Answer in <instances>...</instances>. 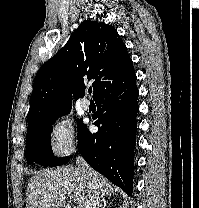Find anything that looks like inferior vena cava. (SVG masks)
I'll use <instances>...</instances> for the list:
<instances>
[{
  "label": "inferior vena cava",
  "mask_w": 199,
  "mask_h": 208,
  "mask_svg": "<svg viewBox=\"0 0 199 208\" xmlns=\"http://www.w3.org/2000/svg\"><path fill=\"white\" fill-rule=\"evenodd\" d=\"M77 167L86 175L89 180L88 199L85 208H101L103 195L97 182L96 175L93 169L88 165L82 156L76 158Z\"/></svg>",
  "instance_id": "obj_1"
}]
</instances>
